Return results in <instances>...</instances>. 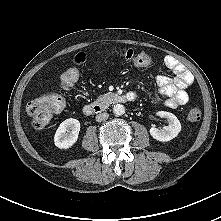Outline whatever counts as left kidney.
<instances>
[{
	"mask_svg": "<svg viewBox=\"0 0 221 221\" xmlns=\"http://www.w3.org/2000/svg\"><path fill=\"white\" fill-rule=\"evenodd\" d=\"M157 115L167 118L169 124L161 130L152 126L149 130L150 135L161 142H167L175 138L181 131V124L178 118L174 114L166 111H159Z\"/></svg>",
	"mask_w": 221,
	"mask_h": 221,
	"instance_id": "1",
	"label": "left kidney"
}]
</instances>
